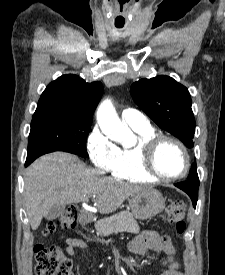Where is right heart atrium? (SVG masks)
<instances>
[{
    "mask_svg": "<svg viewBox=\"0 0 225 275\" xmlns=\"http://www.w3.org/2000/svg\"><path fill=\"white\" fill-rule=\"evenodd\" d=\"M87 151L93 165L100 171H110L114 165L119 148L98 127H95L87 139Z\"/></svg>",
    "mask_w": 225,
    "mask_h": 275,
    "instance_id": "right-heart-atrium-1",
    "label": "right heart atrium"
}]
</instances>
